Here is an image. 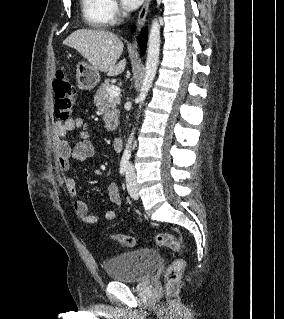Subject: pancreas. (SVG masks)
<instances>
[{"instance_id":"obj_1","label":"pancreas","mask_w":284,"mask_h":319,"mask_svg":"<svg viewBox=\"0 0 284 319\" xmlns=\"http://www.w3.org/2000/svg\"><path fill=\"white\" fill-rule=\"evenodd\" d=\"M111 86L108 81L102 83L94 95V104L103 116L107 131L116 130L120 113L117 109V106L120 104V97H110L108 89Z\"/></svg>"}]
</instances>
